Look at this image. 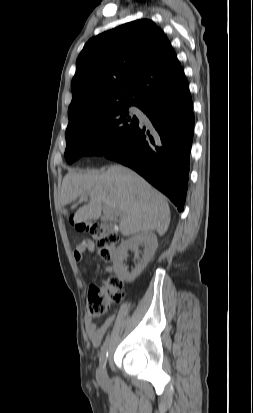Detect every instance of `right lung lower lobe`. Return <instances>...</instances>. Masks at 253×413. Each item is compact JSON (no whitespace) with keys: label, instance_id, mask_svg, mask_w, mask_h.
Masks as SVG:
<instances>
[{"label":"right lung lower lobe","instance_id":"98d812e1","mask_svg":"<svg viewBox=\"0 0 253 413\" xmlns=\"http://www.w3.org/2000/svg\"><path fill=\"white\" fill-rule=\"evenodd\" d=\"M140 109L152 128L139 124L103 156L135 170L183 211L195 121L189 88Z\"/></svg>","mask_w":253,"mask_h":413}]
</instances>
